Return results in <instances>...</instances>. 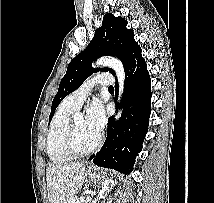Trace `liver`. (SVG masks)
I'll return each mask as SVG.
<instances>
[{
    "mask_svg": "<svg viewBox=\"0 0 214 203\" xmlns=\"http://www.w3.org/2000/svg\"><path fill=\"white\" fill-rule=\"evenodd\" d=\"M85 163L51 165L46 171L49 203H69L83 185Z\"/></svg>",
    "mask_w": 214,
    "mask_h": 203,
    "instance_id": "liver-1",
    "label": "liver"
}]
</instances>
